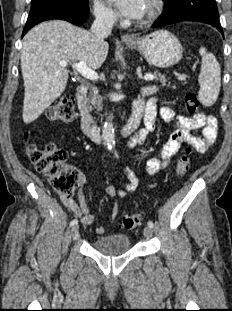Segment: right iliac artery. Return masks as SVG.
<instances>
[{"label":"right iliac artery","instance_id":"obj_1","mask_svg":"<svg viewBox=\"0 0 232 311\" xmlns=\"http://www.w3.org/2000/svg\"><path fill=\"white\" fill-rule=\"evenodd\" d=\"M78 223L77 219H73L70 223V226H76Z\"/></svg>","mask_w":232,"mask_h":311}]
</instances>
